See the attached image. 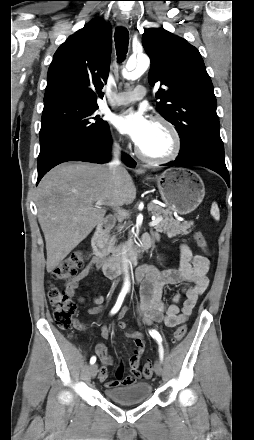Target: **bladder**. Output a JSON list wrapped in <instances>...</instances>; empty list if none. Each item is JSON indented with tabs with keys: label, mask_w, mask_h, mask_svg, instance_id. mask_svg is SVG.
<instances>
[{
	"label": "bladder",
	"mask_w": 254,
	"mask_h": 440,
	"mask_svg": "<svg viewBox=\"0 0 254 440\" xmlns=\"http://www.w3.org/2000/svg\"><path fill=\"white\" fill-rule=\"evenodd\" d=\"M152 385L147 381L135 382L132 384L108 388L106 396L114 402L130 404L140 403L147 400L152 394Z\"/></svg>",
	"instance_id": "31cf9c89"
}]
</instances>
